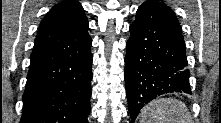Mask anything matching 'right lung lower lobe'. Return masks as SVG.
Masks as SVG:
<instances>
[{"mask_svg": "<svg viewBox=\"0 0 221 123\" xmlns=\"http://www.w3.org/2000/svg\"><path fill=\"white\" fill-rule=\"evenodd\" d=\"M91 45L87 31L75 40L34 48L21 123H88Z\"/></svg>", "mask_w": 221, "mask_h": 123, "instance_id": "obj_1", "label": "right lung lower lobe"}]
</instances>
